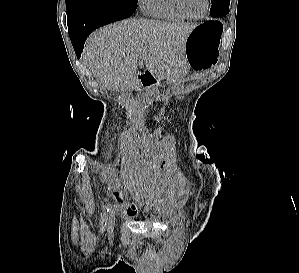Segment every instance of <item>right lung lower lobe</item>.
<instances>
[{"label":"right lung lower lobe","mask_w":299,"mask_h":273,"mask_svg":"<svg viewBox=\"0 0 299 273\" xmlns=\"http://www.w3.org/2000/svg\"><path fill=\"white\" fill-rule=\"evenodd\" d=\"M67 9L69 36L75 53L80 58L89 34L106 24L125 19L136 10V5L112 2L71 3Z\"/></svg>","instance_id":"1"}]
</instances>
